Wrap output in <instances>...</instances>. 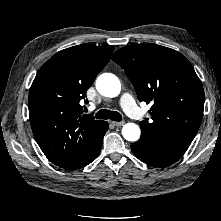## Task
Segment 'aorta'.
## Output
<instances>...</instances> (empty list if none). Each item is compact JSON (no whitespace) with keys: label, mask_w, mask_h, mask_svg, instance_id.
Listing matches in <instances>:
<instances>
[{"label":"aorta","mask_w":221,"mask_h":221,"mask_svg":"<svg viewBox=\"0 0 221 221\" xmlns=\"http://www.w3.org/2000/svg\"><path fill=\"white\" fill-rule=\"evenodd\" d=\"M96 89L105 97H116L120 94L121 83L114 74L104 73L97 78ZM140 134V127L134 123H126L122 128V135L128 141H137Z\"/></svg>","instance_id":"762f6f07"}]
</instances>
